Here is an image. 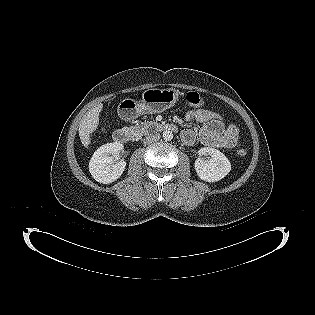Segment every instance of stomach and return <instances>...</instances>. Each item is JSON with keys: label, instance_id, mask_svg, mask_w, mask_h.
Returning a JSON list of instances; mask_svg holds the SVG:
<instances>
[{"label": "stomach", "instance_id": "obj_1", "mask_svg": "<svg viewBox=\"0 0 315 315\" xmlns=\"http://www.w3.org/2000/svg\"><path fill=\"white\" fill-rule=\"evenodd\" d=\"M178 100L175 89H151L142 97L141 103L135 99H125L118 106V113L125 120L137 119L142 111L160 113L173 106Z\"/></svg>", "mask_w": 315, "mask_h": 315}]
</instances>
